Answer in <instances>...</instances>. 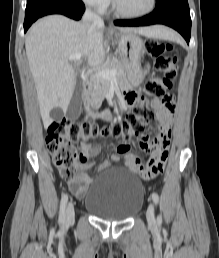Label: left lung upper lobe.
I'll use <instances>...</instances> for the list:
<instances>
[{
    "label": "left lung upper lobe",
    "mask_w": 219,
    "mask_h": 258,
    "mask_svg": "<svg viewBox=\"0 0 219 258\" xmlns=\"http://www.w3.org/2000/svg\"><path fill=\"white\" fill-rule=\"evenodd\" d=\"M165 0H156V5L161 4L162 2H164Z\"/></svg>",
    "instance_id": "obj_1"
}]
</instances>
